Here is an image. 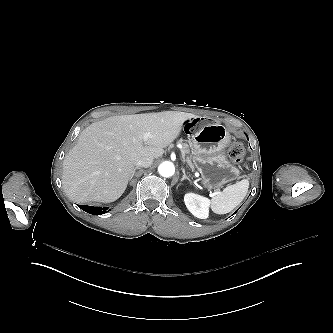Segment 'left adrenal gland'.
I'll return each mask as SVG.
<instances>
[{
    "label": "left adrenal gland",
    "instance_id": "1",
    "mask_svg": "<svg viewBox=\"0 0 333 333\" xmlns=\"http://www.w3.org/2000/svg\"><path fill=\"white\" fill-rule=\"evenodd\" d=\"M182 172H183V176H182V178H181V181H183V180H185V179H187L188 181H191L190 178L186 175V172H185V169H184V168L182 169Z\"/></svg>",
    "mask_w": 333,
    "mask_h": 333
}]
</instances>
